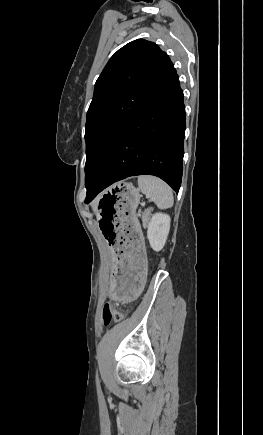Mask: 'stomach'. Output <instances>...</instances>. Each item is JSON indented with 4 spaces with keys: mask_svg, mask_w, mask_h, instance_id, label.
Wrapping results in <instances>:
<instances>
[{
    "mask_svg": "<svg viewBox=\"0 0 263 435\" xmlns=\"http://www.w3.org/2000/svg\"><path fill=\"white\" fill-rule=\"evenodd\" d=\"M139 190L130 182H118L99 198V233L111 249L114 276L110 280L115 305H132L149 282L145 274V234L141 231L137 206Z\"/></svg>",
    "mask_w": 263,
    "mask_h": 435,
    "instance_id": "obj_1",
    "label": "stomach"
}]
</instances>
